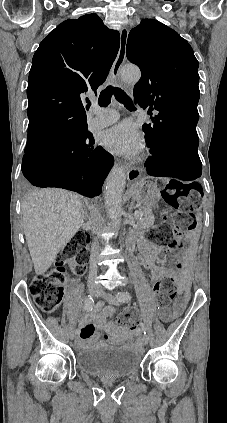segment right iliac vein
Returning a JSON list of instances; mask_svg holds the SVG:
<instances>
[{"label": "right iliac vein", "mask_w": 227, "mask_h": 423, "mask_svg": "<svg viewBox=\"0 0 227 423\" xmlns=\"http://www.w3.org/2000/svg\"><path fill=\"white\" fill-rule=\"evenodd\" d=\"M88 291L94 297L100 296V293H101V291L99 289L94 288V287H90V286L88 287ZM75 337H76V333L74 331H72L71 334H70V338L73 340V339H75Z\"/></svg>", "instance_id": "right-iliac-vein-1"}]
</instances>
